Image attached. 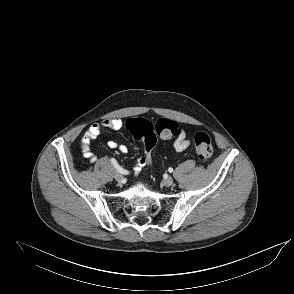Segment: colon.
<instances>
[{
	"mask_svg": "<svg viewBox=\"0 0 294 294\" xmlns=\"http://www.w3.org/2000/svg\"><path fill=\"white\" fill-rule=\"evenodd\" d=\"M128 128L132 135L143 143L145 158L151 162L157 144V135L172 138L180 134L177 122L169 119H160L152 123L143 118L130 119ZM195 150L201 160H208L213 155L212 141L205 132L198 131L193 135Z\"/></svg>",
	"mask_w": 294,
	"mask_h": 294,
	"instance_id": "5ec220e1",
	"label": "colon"
}]
</instances>
